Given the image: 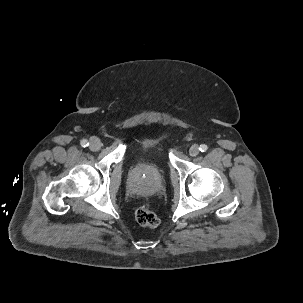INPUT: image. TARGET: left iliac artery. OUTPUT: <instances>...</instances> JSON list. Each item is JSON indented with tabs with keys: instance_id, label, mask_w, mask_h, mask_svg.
Returning a JSON list of instances; mask_svg holds the SVG:
<instances>
[{
	"instance_id": "obj_1",
	"label": "left iliac artery",
	"mask_w": 303,
	"mask_h": 303,
	"mask_svg": "<svg viewBox=\"0 0 303 303\" xmlns=\"http://www.w3.org/2000/svg\"><path fill=\"white\" fill-rule=\"evenodd\" d=\"M207 149H208V147H207V145H205V144H202V145H200V147H199V150H200L201 152H205V151H207Z\"/></svg>"
}]
</instances>
